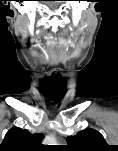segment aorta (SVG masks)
Here are the masks:
<instances>
[{"label":"aorta","instance_id":"762f6f07","mask_svg":"<svg viewBox=\"0 0 118 151\" xmlns=\"http://www.w3.org/2000/svg\"><path fill=\"white\" fill-rule=\"evenodd\" d=\"M56 142V138L53 135L46 136L43 140V143L47 145H56Z\"/></svg>","mask_w":118,"mask_h":151}]
</instances>
